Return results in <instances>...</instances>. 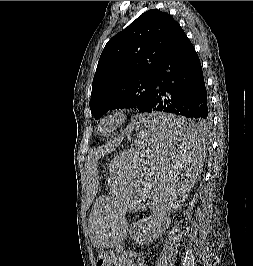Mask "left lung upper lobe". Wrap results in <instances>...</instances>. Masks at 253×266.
Segmentation results:
<instances>
[{
    "label": "left lung upper lobe",
    "instance_id": "obj_1",
    "mask_svg": "<svg viewBox=\"0 0 253 266\" xmlns=\"http://www.w3.org/2000/svg\"><path fill=\"white\" fill-rule=\"evenodd\" d=\"M176 24L169 14L152 9L108 41L92 83L89 105L96 120L120 106L147 111L157 63Z\"/></svg>",
    "mask_w": 253,
    "mask_h": 266
}]
</instances>
